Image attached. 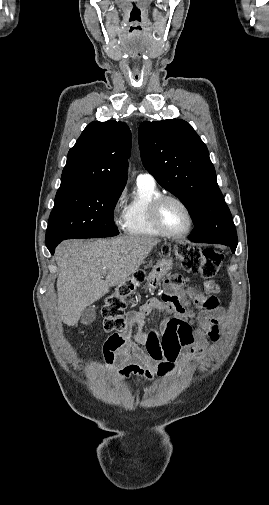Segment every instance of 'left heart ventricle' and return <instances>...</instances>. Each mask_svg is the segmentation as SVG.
Segmentation results:
<instances>
[{
    "label": "left heart ventricle",
    "instance_id": "left-heart-ventricle-1",
    "mask_svg": "<svg viewBox=\"0 0 269 505\" xmlns=\"http://www.w3.org/2000/svg\"><path fill=\"white\" fill-rule=\"evenodd\" d=\"M163 226L170 232L179 233L188 226V216L184 208L175 201H165L160 209Z\"/></svg>",
    "mask_w": 269,
    "mask_h": 505
}]
</instances>
